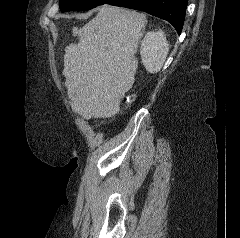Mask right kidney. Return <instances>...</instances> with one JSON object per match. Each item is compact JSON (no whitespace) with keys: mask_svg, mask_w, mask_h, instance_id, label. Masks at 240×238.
<instances>
[{"mask_svg":"<svg viewBox=\"0 0 240 238\" xmlns=\"http://www.w3.org/2000/svg\"><path fill=\"white\" fill-rule=\"evenodd\" d=\"M168 51L169 45L163 31L148 32L141 43L140 49L145 69L151 74L160 71Z\"/></svg>","mask_w":240,"mask_h":238,"instance_id":"obj_1","label":"right kidney"}]
</instances>
